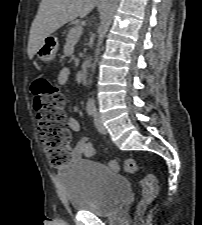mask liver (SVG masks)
Wrapping results in <instances>:
<instances>
[{"label":"liver","mask_w":202,"mask_h":225,"mask_svg":"<svg viewBox=\"0 0 202 225\" xmlns=\"http://www.w3.org/2000/svg\"><path fill=\"white\" fill-rule=\"evenodd\" d=\"M98 0H42L30 29L28 57L32 59L42 40L77 17H86Z\"/></svg>","instance_id":"liver-1"}]
</instances>
